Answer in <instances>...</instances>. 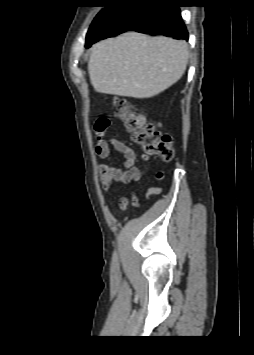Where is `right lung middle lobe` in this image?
<instances>
[{"instance_id":"right-lung-middle-lobe-1","label":"right lung middle lobe","mask_w":254,"mask_h":355,"mask_svg":"<svg viewBox=\"0 0 254 355\" xmlns=\"http://www.w3.org/2000/svg\"><path fill=\"white\" fill-rule=\"evenodd\" d=\"M118 5L119 4H107L105 5L106 8L102 9L98 13L88 30L86 36V43L91 42L98 35L103 25L107 22L113 11L118 7Z\"/></svg>"}]
</instances>
